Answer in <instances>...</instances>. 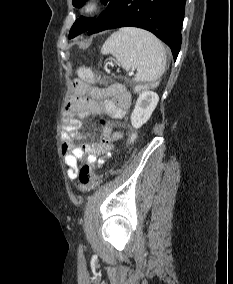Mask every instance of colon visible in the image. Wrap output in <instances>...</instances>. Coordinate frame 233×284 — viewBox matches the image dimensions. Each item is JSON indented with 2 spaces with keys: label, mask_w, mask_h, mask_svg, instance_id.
<instances>
[{
  "label": "colon",
  "mask_w": 233,
  "mask_h": 284,
  "mask_svg": "<svg viewBox=\"0 0 233 284\" xmlns=\"http://www.w3.org/2000/svg\"><path fill=\"white\" fill-rule=\"evenodd\" d=\"M78 75L80 76V78L88 82H93L96 80V76L93 74V72L85 67H80L78 69ZM159 82L160 79H157L151 84V86L155 87ZM142 89V86H138L136 88V92H140ZM99 123L101 126H104L106 124V121L104 119H100ZM136 137V131H131L128 137L129 143L134 142ZM99 182V177L95 174L90 164L85 163L80 167L77 185L79 191L88 192L94 190L99 185Z\"/></svg>",
  "instance_id": "colon-1"
}]
</instances>
